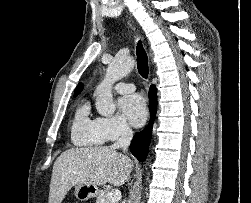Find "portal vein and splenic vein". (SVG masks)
<instances>
[{
  "label": "portal vein and splenic vein",
  "instance_id": "obj_1",
  "mask_svg": "<svg viewBox=\"0 0 251 203\" xmlns=\"http://www.w3.org/2000/svg\"><path fill=\"white\" fill-rule=\"evenodd\" d=\"M108 196L113 201V203H117V201H119L121 198V192L118 189L112 190L108 193Z\"/></svg>",
  "mask_w": 251,
  "mask_h": 203
}]
</instances>
